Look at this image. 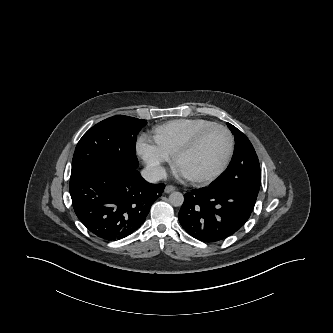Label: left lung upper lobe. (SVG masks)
<instances>
[{"mask_svg": "<svg viewBox=\"0 0 333 333\" xmlns=\"http://www.w3.org/2000/svg\"><path fill=\"white\" fill-rule=\"evenodd\" d=\"M235 136V152L228 168L213 184L242 190L257 198L261 172L258 157L249 139L235 126L227 123Z\"/></svg>", "mask_w": 333, "mask_h": 333, "instance_id": "1", "label": "left lung upper lobe"}]
</instances>
